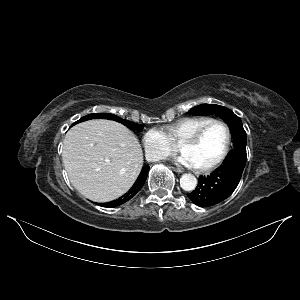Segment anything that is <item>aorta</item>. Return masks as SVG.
<instances>
[{"mask_svg":"<svg viewBox=\"0 0 300 300\" xmlns=\"http://www.w3.org/2000/svg\"><path fill=\"white\" fill-rule=\"evenodd\" d=\"M180 185L185 191H193L197 186V179L192 174H183L180 178Z\"/></svg>","mask_w":300,"mask_h":300,"instance_id":"obj_1","label":"aorta"}]
</instances>
